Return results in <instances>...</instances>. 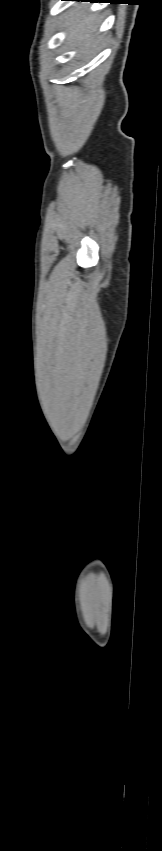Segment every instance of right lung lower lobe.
Here are the masks:
<instances>
[{"mask_svg": "<svg viewBox=\"0 0 162 851\" xmlns=\"http://www.w3.org/2000/svg\"><path fill=\"white\" fill-rule=\"evenodd\" d=\"M76 1H82V0H76ZM99 1H100V0H99ZM100 2H101V1H100ZM112 3H115V2H112Z\"/></svg>", "mask_w": 162, "mask_h": 851, "instance_id": "98d812e1", "label": "right lung lower lobe"}]
</instances>
